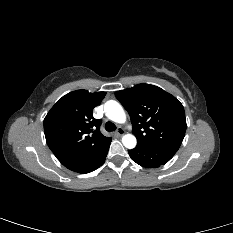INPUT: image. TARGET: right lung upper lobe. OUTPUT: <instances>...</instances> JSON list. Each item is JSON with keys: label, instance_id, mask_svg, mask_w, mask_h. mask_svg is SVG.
<instances>
[{"label": "right lung upper lobe", "instance_id": "right-lung-upper-lobe-1", "mask_svg": "<svg viewBox=\"0 0 233 233\" xmlns=\"http://www.w3.org/2000/svg\"><path fill=\"white\" fill-rule=\"evenodd\" d=\"M105 95L86 90L70 92L56 102L44 119L49 148L72 171L82 170L111 142L99 130L101 120L92 115Z\"/></svg>", "mask_w": 233, "mask_h": 233}]
</instances>
